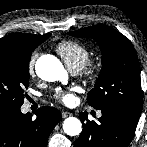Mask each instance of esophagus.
<instances>
[{
    "label": "esophagus",
    "instance_id": "obj_1",
    "mask_svg": "<svg viewBox=\"0 0 147 147\" xmlns=\"http://www.w3.org/2000/svg\"><path fill=\"white\" fill-rule=\"evenodd\" d=\"M70 115H71V113L67 112V111H64V112L61 113L62 118H66V117H68Z\"/></svg>",
    "mask_w": 147,
    "mask_h": 147
}]
</instances>
